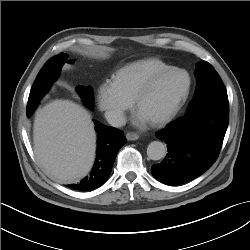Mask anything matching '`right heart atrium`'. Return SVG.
<instances>
[{
    "label": "right heart atrium",
    "instance_id": "right-heart-atrium-1",
    "mask_svg": "<svg viewBox=\"0 0 250 250\" xmlns=\"http://www.w3.org/2000/svg\"><path fill=\"white\" fill-rule=\"evenodd\" d=\"M97 102L106 118L115 125L124 122L133 101L119 92L110 81L102 82L97 89Z\"/></svg>",
    "mask_w": 250,
    "mask_h": 250
}]
</instances>
